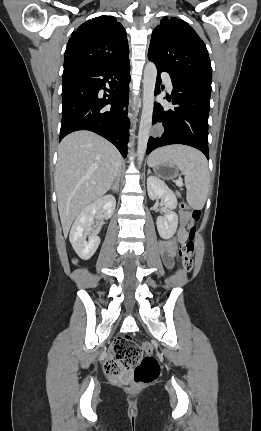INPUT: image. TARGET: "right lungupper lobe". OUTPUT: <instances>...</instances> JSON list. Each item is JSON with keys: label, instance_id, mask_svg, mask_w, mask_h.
Wrapping results in <instances>:
<instances>
[{"label": "right lung upper lobe", "instance_id": "right-lung-upper-lobe-1", "mask_svg": "<svg viewBox=\"0 0 261 431\" xmlns=\"http://www.w3.org/2000/svg\"><path fill=\"white\" fill-rule=\"evenodd\" d=\"M129 60L126 31L113 16L84 22L72 33L64 68L83 65H116Z\"/></svg>", "mask_w": 261, "mask_h": 431}]
</instances>
